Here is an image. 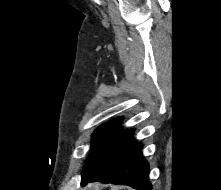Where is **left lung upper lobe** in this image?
I'll return each instance as SVG.
<instances>
[{"label":"left lung upper lobe","instance_id":"5c2ea615","mask_svg":"<svg viewBox=\"0 0 221 190\" xmlns=\"http://www.w3.org/2000/svg\"><path fill=\"white\" fill-rule=\"evenodd\" d=\"M122 118L113 119L99 126L93 134V142L90 148L89 156L86 159L82 177L91 172L102 153L112 143V141L123 131L119 125Z\"/></svg>","mask_w":221,"mask_h":190}]
</instances>
